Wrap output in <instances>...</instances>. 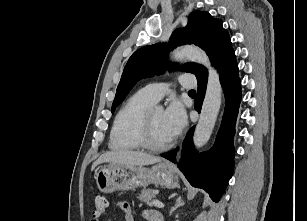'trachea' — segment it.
I'll return each instance as SVG.
<instances>
[{
  "label": "trachea",
  "instance_id": "1",
  "mask_svg": "<svg viewBox=\"0 0 307 221\" xmlns=\"http://www.w3.org/2000/svg\"><path fill=\"white\" fill-rule=\"evenodd\" d=\"M189 93H196L195 90H190Z\"/></svg>",
  "mask_w": 307,
  "mask_h": 221
}]
</instances>
